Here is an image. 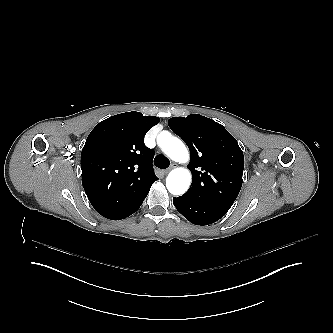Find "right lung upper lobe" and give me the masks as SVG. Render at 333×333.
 <instances>
[{"label":"right lung upper lobe","instance_id":"right-lung-upper-lobe-1","mask_svg":"<svg viewBox=\"0 0 333 333\" xmlns=\"http://www.w3.org/2000/svg\"><path fill=\"white\" fill-rule=\"evenodd\" d=\"M159 121L158 117L135 111L101 121L82 149L81 168L103 163L117 177L153 174L155 152L145 146L144 136Z\"/></svg>","mask_w":333,"mask_h":333}]
</instances>
